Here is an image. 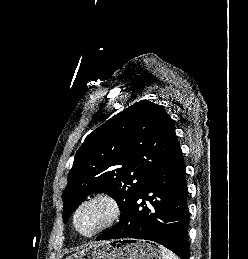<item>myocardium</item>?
Instances as JSON below:
<instances>
[{"mask_svg":"<svg viewBox=\"0 0 248 259\" xmlns=\"http://www.w3.org/2000/svg\"><path fill=\"white\" fill-rule=\"evenodd\" d=\"M98 201L104 202L109 206V208H110L109 218L106 220V222L104 224H102L96 230H94L90 233L81 232L77 226V216H78L79 212L86 205H89L91 203L98 202ZM120 215H121V206H120L118 200L114 196H112L111 194H108V193H96V194H93V195L87 197L86 199H84L83 201H81L78 204V206L76 207V209L74 210V213H73L72 224H73L74 230L80 236L86 237V238H91V237H94V236L100 234L101 232L105 231L106 229L110 228L119 219Z\"/></svg>","mask_w":248,"mask_h":259,"instance_id":"myocardium-1","label":"myocardium"}]
</instances>
